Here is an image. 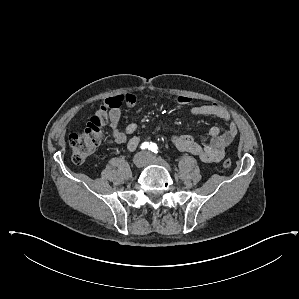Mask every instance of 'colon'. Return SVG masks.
I'll list each match as a JSON object with an SVG mask.
<instances>
[{"label": "colon", "instance_id": "5ec220e1", "mask_svg": "<svg viewBox=\"0 0 299 299\" xmlns=\"http://www.w3.org/2000/svg\"><path fill=\"white\" fill-rule=\"evenodd\" d=\"M102 127V120L97 116H93L84 130L70 134L69 145L74 163H84L95 151L103 139ZM231 165L232 161L230 159L223 161L225 168H230Z\"/></svg>", "mask_w": 299, "mask_h": 299}]
</instances>
